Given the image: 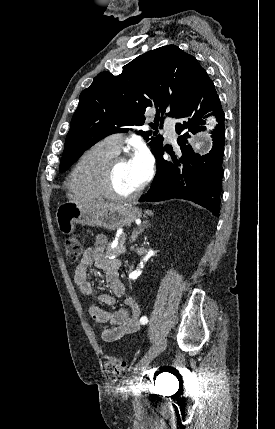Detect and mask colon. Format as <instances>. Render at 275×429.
I'll list each match as a JSON object with an SVG mask.
<instances>
[{"instance_id":"5ec220e1","label":"colon","mask_w":275,"mask_h":429,"mask_svg":"<svg viewBox=\"0 0 275 429\" xmlns=\"http://www.w3.org/2000/svg\"><path fill=\"white\" fill-rule=\"evenodd\" d=\"M66 257L69 261H76L82 253L83 244L75 237H68L64 242ZM104 372L110 381H117L125 370V362L115 357H107L103 364Z\"/></svg>"}]
</instances>
